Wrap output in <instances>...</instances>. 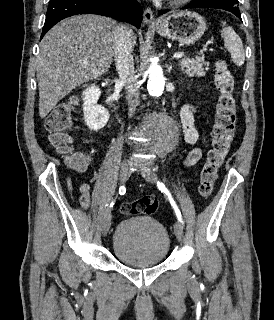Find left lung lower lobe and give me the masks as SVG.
I'll return each instance as SVG.
<instances>
[{"mask_svg":"<svg viewBox=\"0 0 274 320\" xmlns=\"http://www.w3.org/2000/svg\"><path fill=\"white\" fill-rule=\"evenodd\" d=\"M189 8H219V9H224L227 11L232 12L235 14L240 20L241 19V14L239 11V8L235 7H229L221 3L213 2V1H208V0H195L188 4L187 6L183 7L182 9H189ZM168 12V10H160L158 13L160 15Z\"/></svg>","mask_w":274,"mask_h":320,"instance_id":"left-lung-lower-lobe-1","label":"left lung lower lobe"}]
</instances>
